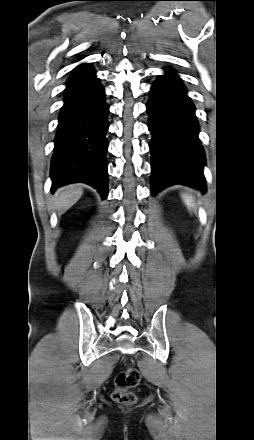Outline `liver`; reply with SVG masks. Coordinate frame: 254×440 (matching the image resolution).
I'll return each instance as SVG.
<instances>
[{
  "instance_id": "liver-1",
  "label": "liver",
  "mask_w": 254,
  "mask_h": 440,
  "mask_svg": "<svg viewBox=\"0 0 254 440\" xmlns=\"http://www.w3.org/2000/svg\"><path fill=\"white\" fill-rule=\"evenodd\" d=\"M82 194V185H66L55 192L52 205L59 214H62L72 207L81 198Z\"/></svg>"
}]
</instances>
